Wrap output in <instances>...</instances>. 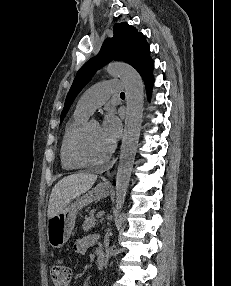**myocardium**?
Masks as SVG:
<instances>
[{
  "label": "myocardium",
  "instance_id": "f54148a6",
  "mask_svg": "<svg viewBox=\"0 0 231 286\" xmlns=\"http://www.w3.org/2000/svg\"><path fill=\"white\" fill-rule=\"evenodd\" d=\"M96 123L97 121L93 119H87L76 131L74 134L71 144H70V155L74 162L79 164L82 167H92V166H98L106 163L113 155V152L115 150V146L112 144L109 152L100 159H91L87 157L82 148L83 140L86 135V132L91 124Z\"/></svg>",
  "mask_w": 231,
  "mask_h": 286
}]
</instances>
